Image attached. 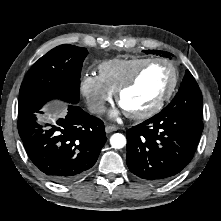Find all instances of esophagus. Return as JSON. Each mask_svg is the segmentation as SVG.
<instances>
[{
	"label": "esophagus",
	"mask_w": 221,
	"mask_h": 221,
	"mask_svg": "<svg viewBox=\"0 0 221 221\" xmlns=\"http://www.w3.org/2000/svg\"><path fill=\"white\" fill-rule=\"evenodd\" d=\"M119 129V127L115 126V125H107L105 127V131L106 133H110V132H113V131H117Z\"/></svg>",
	"instance_id": "1"
}]
</instances>
